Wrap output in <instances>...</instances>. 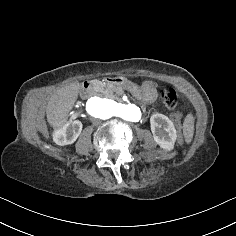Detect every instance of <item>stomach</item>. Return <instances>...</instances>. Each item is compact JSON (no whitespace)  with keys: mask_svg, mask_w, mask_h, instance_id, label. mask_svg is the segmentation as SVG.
<instances>
[{"mask_svg":"<svg viewBox=\"0 0 236 236\" xmlns=\"http://www.w3.org/2000/svg\"><path fill=\"white\" fill-rule=\"evenodd\" d=\"M121 90L123 92H131V96L138 98L141 104L154 105L157 102L158 87L153 82H144L139 86L131 81H123Z\"/></svg>","mask_w":236,"mask_h":236,"instance_id":"0dacf381","label":"stomach"}]
</instances>
